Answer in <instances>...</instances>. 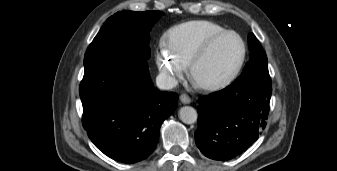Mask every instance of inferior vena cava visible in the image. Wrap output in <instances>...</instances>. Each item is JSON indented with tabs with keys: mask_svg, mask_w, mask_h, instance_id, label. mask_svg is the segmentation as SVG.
Listing matches in <instances>:
<instances>
[{
	"mask_svg": "<svg viewBox=\"0 0 337 171\" xmlns=\"http://www.w3.org/2000/svg\"><path fill=\"white\" fill-rule=\"evenodd\" d=\"M156 84L159 89L169 90L178 85V82L175 78L169 76L166 73H160L156 78Z\"/></svg>",
	"mask_w": 337,
	"mask_h": 171,
	"instance_id": "inferior-vena-cava-1",
	"label": "inferior vena cava"
}]
</instances>
